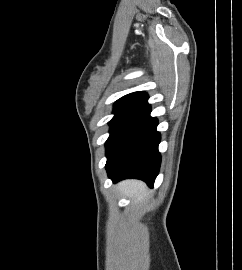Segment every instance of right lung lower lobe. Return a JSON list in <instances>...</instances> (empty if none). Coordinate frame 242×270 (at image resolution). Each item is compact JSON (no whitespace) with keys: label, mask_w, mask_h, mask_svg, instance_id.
Masks as SVG:
<instances>
[{"label":"right lung lower lobe","mask_w":242,"mask_h":270,"mask_svg":"<svg viewBox=\"0 0 242 270\" xmlns=\"http://www.w3.org/2000/svg\"><path fill=\"white\" fill-rule=\"evenodd\" d=\"M150 112L148 103L137 107L107 149L106 170L114 182L137 178L153 186L161 156L160 134L156 131L158 120Z\"/></svg>","instance_id":"98d812e1"}]
</instances>
